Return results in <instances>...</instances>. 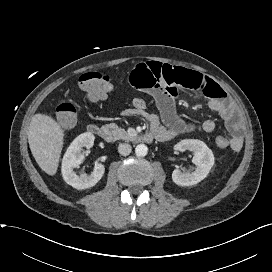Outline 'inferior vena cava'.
Wrapping results in <instances>:
<instances>
[{"instance_id":"602c4592","label":"inferior vena cava","mask_w":272,"mask_h":272,"mask_svg":"<svg viewBox=\"0 0 272 272\" xmlns=\"http://www.w3.org/2000/svg\"><path fill=\"white\" fill-rule=\"evenodd\" d=\"M132 147L130 144L122 143L118 146V152L123 155L127 156L131 153Z\"/></svg>"}]
</instances>
